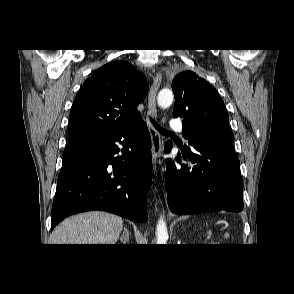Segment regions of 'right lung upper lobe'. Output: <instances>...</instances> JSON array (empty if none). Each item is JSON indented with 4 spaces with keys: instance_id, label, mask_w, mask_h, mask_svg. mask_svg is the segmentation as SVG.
<instances>
[{
    "instance_id": "right-lung-upper-lobe-1",
    "label": "right lung upper lobe",
    "mask_w": 294,
    "mask_h": 294,
    "mask_svg": "<svg viewBox=\"0 0 294 294\" xmlns=\"http://www.w3.org/2000/svg\"><path fill=\"white\" fill-rule=\"evenodd\" d=\"M143 73L126 61L97 69L78 91L68 125L69 142L117 130L140 113L137 105L146 97Z\"/></svg>"
}]
</instances>
